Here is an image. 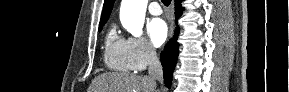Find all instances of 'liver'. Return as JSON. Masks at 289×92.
<instances>
[{
  "label": "liver",
  "instance_id": "6515ba94",
  "mask_svg": "<svg viewBox=\"0 0 289 92\" xmlns=\"http://www.w3.org/2000/svg\"><path fill=\"white\" fill-rule=\"evenodd\" d=\"M89 92H156V82L148 76L103 73L92 81Z\"/></svg>",
  "mask_w": 289,
  "mask_h": 92
}]
</instances>
